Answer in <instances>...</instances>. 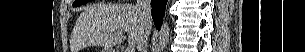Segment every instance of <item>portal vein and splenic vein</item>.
I'll list each match as a JSON object with an SVG mask.
<instances>
[{
    "mask_svg": "<svg viewBox=\"0 0 305 52\" xmlns=\"http://www.w3.org/2000/svg\"><path fill=\"white\" fill-rule=\"evenodd\" d=\"M126 52H133V50L130 49V48H128V49L126 50Z\"/></svg>",
    "mask_w": 305,
    "mask_h": 52,
    "instance_id": "portal-vein-and-splenic-vein-1",
    "label": "portal vein and splenic vein"
}]
</instances>
